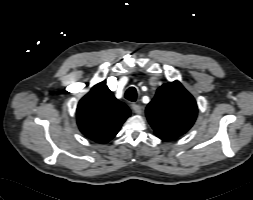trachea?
Listing matches in <instances>:
<instances>
[{
    "label": "trachea",
    "mask_w": 253,
    "mask_h": 200,
    "mask_svg": "<svg viewBox=\"0 0 253 200\" xmlns=\"http://www.w3.org/2000/svg\"><path fill=\"white\" fill-rule=\"evenodd\" d=\"M125 98L131 102L136 101L137 98V91L134 87L128 88V90L125 93Z\"/></svg>",
    "instance_id": "trachea-1"
}]
</instances>
